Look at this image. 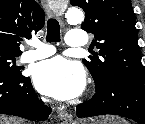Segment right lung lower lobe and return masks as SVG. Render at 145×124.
<instances>
[{"mask_svg": "<svg viewBox=\"0 0 145 124\" xmlns=\"http://www.w3.org/2000/svg\"><path fill=\"white\" fill-rule=\"evenodd\" d=\"M51 108L38 100L29 77L0 71V114L45 120Z\"/></svg>", "mask_w": 145, "mask_h": 124, "instance_id": "98d812e1", "label": "right lung lower lobe"}]
</instances>
